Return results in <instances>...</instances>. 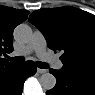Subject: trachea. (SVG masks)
I'll return each instance as SVG.
<instances>
[{
	"label": "trachea",
	"mask_w": 95,
	"mask_h": 95,
	"mask_svg": "<svg viewBox=\"0 0 95 95\" xmlns=\"http://www.w3.org/2000/svg\"><path fill=\"white\" fill-rule=\"evenodd\" d=\"M8 58V60H10V61H14V62H19V63H21V62H23L25 59H24V57H21V56H16V57H7ZM36 65L39 67V68H41V69H46V68H48V64H46V63H44V62H37L36 63Z\"/></svg>",
	"instance_id": "obj_1"
}]
</instances>
